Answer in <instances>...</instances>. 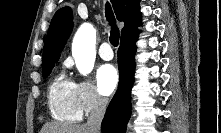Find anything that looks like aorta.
Listing matches in <instances>:
<instances>
[{
	"mask_svg": "<svg viewBox=\"0 0 221 133\" xmlns=\"http://www.w3.org/2000/svg\"><path fill=\"white\" fill-rule=\"evenodd\" d=\"M95 45V28L89 23L82 24L73 39L72 55L78 71L84 76L93 70L96 58Z\"/></svg>",
	"mask_w": 221,
	"mask_h": 133,
	"instance_id": "aorta-1",
	"label": "aorta"
}]
</instances>
